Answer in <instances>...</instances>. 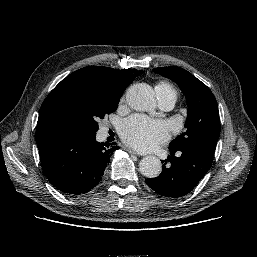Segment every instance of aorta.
Segmentation results:
<instances>
[{"mask_svg": "<svg viewBox=\"0 0 257 257\" xmlns=\"http://www.w3.org/2000/svg\"><path fill=\"white\" fill-rule=\"evenodd\" d=\"M126 101L129 106L137 111H152L156 106L155 94L151 86L143 83L134 84L126 92ZM140 172L147 178L160 175L162 165L155 156H146L140 163Z\"/></svg>", "mask_w": 257, "mask_h": 257, "instance_id": "obj_1", "label": "aorta"}]
</instances>
